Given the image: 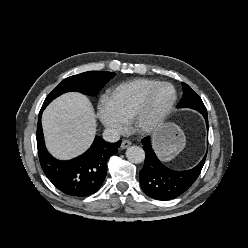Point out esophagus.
Returning a JSON list of instances; mask_svg holds the SVG:
<instances>
[{
    "mask_svg": "<svg viewBox=\"0 0 248 248\" xmlns=\"http://www.w3.org/2000/svg\"><path fill=\"white\" fill-rule=\"evenodd\" d=\"M131 145V141L129 140H123L121 143V149H126Z\"/></svg>",
    "mask_w": 248,
    "mask_h": 248,
    "instance_id": "1",
    "label": "esophagus"
}]
</instances>
